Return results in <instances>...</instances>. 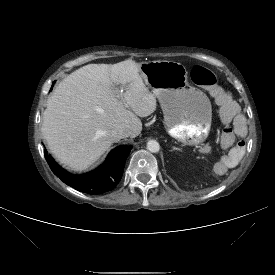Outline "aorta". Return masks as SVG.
<instances>
[{
    "label": "aorta",
    "mask_w": 275,
    "mask_h": 275,
    "mask_svg": "<svg viewBox=\"0 0 275 275\" xmlns=\"http://www.w3.org/2000/svg\"><path fill=\"white\" fill-rule=\"evenodd\" d=\"M147 149L152 153H157L160 150V145L156 140H150L147 142Z\"/></svg>",
    "instance_id": "aorta-1"
}]
</instances>
